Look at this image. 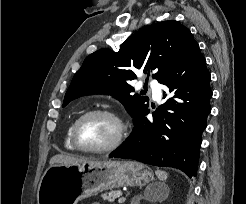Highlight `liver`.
I'll use <instances>...</instances> for the list:
<instances>
[{
  "label": "liver",
  "mask_w": 246,
  "mask_h": 204,
  "mask_svg": "<svg viewBox=\"0 0 246 204\" xmlns=\"http://www.w3.org/2000/svg\"><path fill=\"white\" fill-rule=\"evenodd\" d=\"M94 162L92 160H88L85 158H77L71 155H65V154H57L54 155L50 159V166H53L54 164H62V165H72V164H77V163H82V162Z\"/></svg>",
  "instance_id": "obj_1"
}]
</instances>
